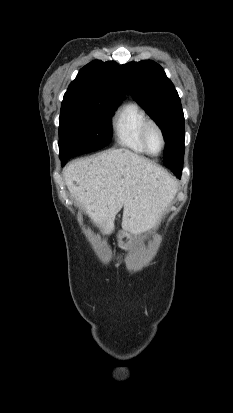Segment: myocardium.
<instances>
[{
	"instance_id": "f54148a6",
	"label": "myocardium",
	"mask_w": 233,
	"mask_h": 413,
	"mask_svg": "<svg viewBox=\"0 0 233 413\" xmlns=\"http://www.w3.org/2000/svg\"><path fill=\"white\" fill-rule=\"evenodd\" d=\"M151 127H154V128L159 132L160 137H161V149H160L159 152H157V153L151 152V151L149 150L148 144H147V132H148V130H149ZM140 138H141V142H142V145H143L146 153L149 154V155H151V156H158V155H160V154L163 152V150H164V148H165V146H166L165 133H164L162 127L160 126V124H159L158 122H156L155 120H153V119H148V120L143 124V126H142V128H141V131H140Z\"/></svg>"
}]
</instances>
